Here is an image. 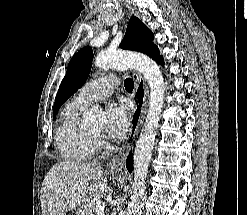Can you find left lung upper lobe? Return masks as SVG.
Here are the masks:
<instances>
[{
	"label": "left lung upper lobe",
	"mask_w": 247,
	"mask_h": 215,
	"mask_svg": "<svg viewBox=\"0 0 247 215\" xmlns=\"http://www.w3.org/2000/svg\"><path fill=\"white\" fill-rule=\"evenodd\" d=\"M153 39L154 35L151 30L137 17H132L129 20L125 37L120 47L126 50L142 52L151 57L158 49L152 42ZM92 60L93 51L88 46L72 57L55 98L53 118H55L61 105L84 85L91 70Z\"/></svg>",
	"instance_id": "5c2ea615"
}]
</instances>
